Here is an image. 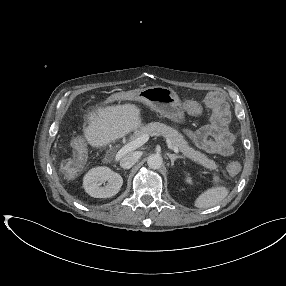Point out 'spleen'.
I'll return each mask as SVG.
<instances>
[{"label": "spleen", "instance_id": "obj_1", "mask_svg": "<svg viewBox=\"0 0 286 286\" xmlns=\"http://www.w3.org/2000/svg\"><path fill=\"white\" fill-rule=\"evenodd\" d=\"M229 194L225 186H216L201 193L195 200L194 205L200 209H207L222 202Z\"/></svg>", "mask_w": 286, "mask_h": 286}]
</instances>
